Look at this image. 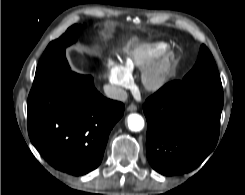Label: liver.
<instances>
[{
	"label": "liver",
	"instance_id": "obj_1",
	"mask_svg": "<svg viewBox=\"0 0 245 195\" xmlns=\"http://www.w3.org/2000/svg\"><path fill=\"white\" fill-rule=\"evenodd\" d=\"M137 41H138L137 38H135V37L132 38V39L129 41V43L127 44V46L124 48V50H125L127 53H129V52H130V47H131V45L134 44V43H136ZM135 49L138 50L139 47L136 46Z\"/></svg>",
	"mask_w": 245,
	"mask_h": 195
}]
</instances>
